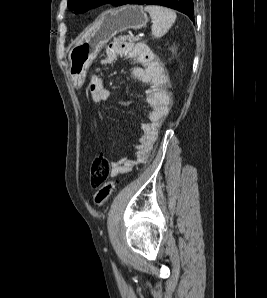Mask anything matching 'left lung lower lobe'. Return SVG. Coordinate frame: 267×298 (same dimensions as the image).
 <instances>
[{"instance_id":"left-lung-lower-lobe-1","label":"left lung lower lobe","mask_w":267,"mask_h":298,"mask_svg":"<svg viewBox=\"0 0 267 298\" xmlns=\"http://www.w3.org/2000/svg\"><path fill=\"white\" fill-rule=\"evenodd\" d=\"M125 4H154L170 7L186 14L193 20V1L192 0H122L120 5ZM119 5V6H120Z\"/></svg>"}]
</instances>
